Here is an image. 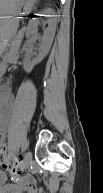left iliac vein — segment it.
Listing matches in <instances>:
<instances>
[{
  "label": "left iliac vein",
  "mask_w": 103,
  "mask_h": 193,
  "mask_svg": "<svg viewBox=\"0 0 103 193\" xmlns=\"http://www.w3.org/2000/svg\"><path fill=\"white\" fill-rule=\"evenodd\" d=\"M31 161H32V153L30 151H28L25 154V158H24L25 167H28L30 165Z\"/></svg>",
  "instance_id": "obj_1"
}]
</instances>
